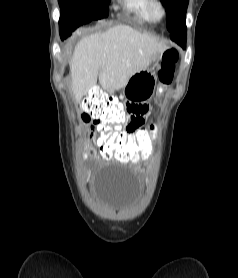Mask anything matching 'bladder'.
I'll return each instance as SVG.
<instances>
[{"mask_svg":"<svg viewBox=\"0 0 238 278\" xmlns=\"http://www.w3.org/2000/svg\"><path fill=\"white\" fill-rule=\"evenodd\" d=\"M128 169L109 167L101 175H93V180H138V175H128ZM94 186L102 194L103 202L113 209H121L132 202L131 194H138L140 181H94Z\"/></svg>","mask_w":238,"mask_h":278,"instance_id":"bladder-1","label":"bladder"}]
</instances>
